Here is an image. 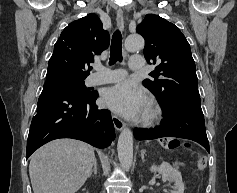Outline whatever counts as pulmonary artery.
<instances>
[{
	"instance_id": "e3ab8cb5",
	"label": "pulmonary artery",
	"mask_w": 237,
	"mask_h": 193,
	"mask_svg": "<svg viewBox=\"0 0 237 193\" xmlns=\"http://www.w3.org/2000/svg\"><path fill=\"white\" fill-rule=\"evenodd\" d=\"M144 59L139 56H132L129 59V68L134 71H140L144 68ZM97 73L92 75L89 79L90 85H100L106 83H113L122 80L126 76L123 69H108L101 65L96 66Z\"/></svg>"
}]
</instances>
